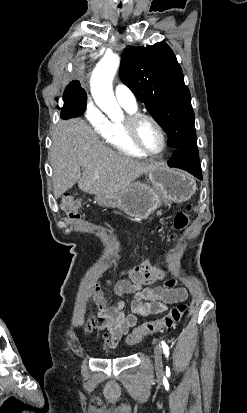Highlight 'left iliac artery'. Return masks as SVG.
I'll return each instance as SVG.
<instances>
[{"label":"left iliac artery","instance_id":"44dca946","mask_svg":"<svg viewBox=\"0 0 247 413\" xmlns=\"http://www.w3.org/2000/svg\"><path fill=\"white\" fill-rule=\"evenodd\" d=\"M161 345H162L163 352H164L165 356L168 358V356H169V347H168V345L165 343V341H161Z\"/></svg>","mask_w":247,"mask_h":413}]
</instances>
